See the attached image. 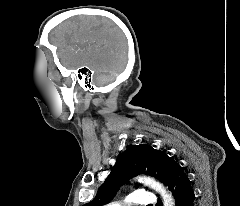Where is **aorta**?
I'll list each match as a JSON object with an SVG mask.
<instances>
[{
  "label": "aorta",
  "instance_id": "obj_1",
  "mask_svg": "<svg viewBox=\"0 0 240 206\" xmlns=\"http://www.w3.org/2000/svg\"><path fill=\"white\" fill-rule=\"evenodd\" d=\"M139 181L143 182L145 185L156 190L162 197L164 206H174L175 201L171 194H169L166 189L159 182L155 181L150 177H141Z\"/></svg>",
  "mask_w": 240,
  "mask_h": 206
}]
</instances>
